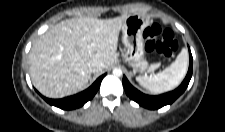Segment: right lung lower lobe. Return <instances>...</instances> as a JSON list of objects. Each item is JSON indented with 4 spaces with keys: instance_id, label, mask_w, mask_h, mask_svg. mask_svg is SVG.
Segmentation results:
<instances>
[{
    "instance_id": "98d812e1",
    "label": "right lung lower lobe",
    "mask_w": 225,
    "mask_h": 132,
    "mask_svg": "<svg viewBox=\"0 0 225 132\" xmlns=\"http://www.w3.org/2000/svg\"><path fill=\"white\" fill-rule=\"evenodd\" d=\"M105 76H100L88 89L84 90L83 92H80L76 95L66 97L63 99H48L44 98L46 102H48L50 105L59 107L61 109L65 110H71L78 107L83 106L87 101L91 100L96 92L99 89L100 83Z\"/></svg>"
}]
</instances>
